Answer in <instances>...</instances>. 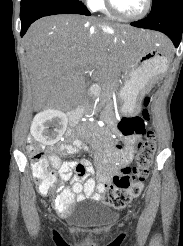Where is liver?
<instances>
[{"label":"liver","instance_id":"6515ba94","mask_svg":"<svg viewBox=\"0 0 183 246\" xmlns=\"http://www.w3.org/2000/svg\"><path fill=\"white\" fill-rule=\"evenodd\" d=\"M136 38L161 49L170 44L160 33L95 17L54 15L37 20L24 37L35 100L62 110L78 105L86 92L85 75L103 82L129 70Z\"/></svg>","mask_w":183,"mask_h":246}]
</instances>
